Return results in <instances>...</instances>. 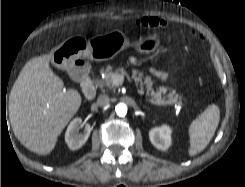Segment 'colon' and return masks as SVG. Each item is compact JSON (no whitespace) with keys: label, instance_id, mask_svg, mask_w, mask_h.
I'll list each match as a JSON object with an SVG mask.
<instances>
[{"label":"colon","instance_id":"5ec220e1","mask_svg":"<svg viewBox=\"0 0 245 187\" xmlns=\"http://www.w3.org/2000/svg\"><path fill=\"white\" fill-rule=\"evenodd\" d=\"M136 25L140 28L156 29L161 28L165 25V22L156 17H143L136 21ZM195 36L203 39L201 34L195 33Z\"/></svg>","mask_w":245,"mask_h":187}]
</instances>
